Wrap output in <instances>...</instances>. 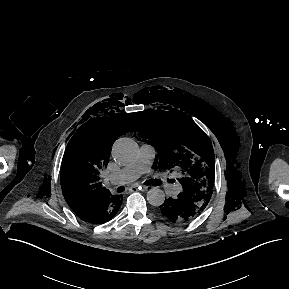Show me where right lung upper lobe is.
Returning <instances> with one entry per match:
<instances>
[{"label": "right lung upper lobe", "instance_id": "1", "mask_svg": "<svg viewBox=\"0 0 289 289\" xmlns=\"http://www.w3.org/2000/svg\"><path fill=\"white\" fill-rule=\"evenodd\" d=\"M129 114H110L90 120L71 136L61 167V187L65 200L82 220L92 217L101 202L115 199L102 187L101 170L107 167L115 139L133 130Z\"/></svg>", "mask_w": 289, "mask_h": 289}]
</instances>
